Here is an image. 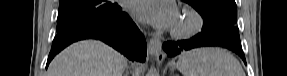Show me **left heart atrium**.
<instances>
[{
	"instance_id": "left-heart-atrium-1",
	"label": "left heart atrium",
	"mask_w": 287,
	"mask_h": 76,
	"mask_svg": "<svg viewBox=\"0 0 287 76\" xmlns=\"http://www.w3.org/2000/svg\"><path fill=\"white\" fill-rule=\"evenodd\" d=\"M131 12L139 20L159 28H171L179 18L178 9L170 0H134Z\"/></svg>"
}]
</instances>
